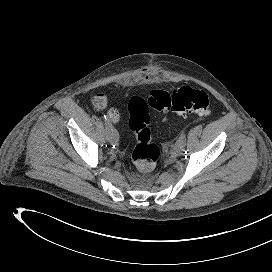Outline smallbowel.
Listing matches in <instances>:
<instances>
[{"mask_svg": "<svg viewBox=\"0 0 272 272\" xmlns=\"http://www.w3.org/2000/svg\"><path fill=\"white\" fill-rule=\"evenodd\" d=\"M96 104L99 106V107H102V106H104V104H105V99H104V97H102V96H99V97H97V99H96ZM110 115H111V117L113 118V119H117V115L114 113V112H110ZM167 120V119H166Z\"/></svg>", "mask_w": 272, "mask_h": 272, "instance_id": "1", "label": "small bowel"}]
</instances>
